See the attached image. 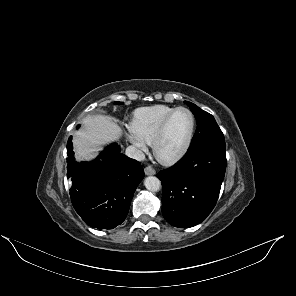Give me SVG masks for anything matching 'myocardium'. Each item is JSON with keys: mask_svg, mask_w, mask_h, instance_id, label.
<instances>
[{"mask_svg": "<svg viewBox=\"0 0 296 296\" xmlns=\"http://www.w3.org/2000/svg\"><path fill=\"white\" fill-rule=\"evenodd\" d=\"M179 111H186L190 114L191 116V120H192V124H191V129L189 132V135L187 137L186 142L184 143V145L182 146V148L175 154L168 156V157H162L159 154V146L161 141L164 138V135L166 133L167 127L170 123V121L172 120V118L174 117V115L179 112ZM195 129H196V118L194 113L186 107H177L175 108L162 122V124L160 125L157 134L152 142V149H153V153L156 157V159L163 163V164H173L176 163L177 161H179L180 159H182L185 154L187 153V151L189 150L193 137H194V133H195Z\"/></svg>", "mask_w": 296, "mask_h": 296, "instance_id": "1", "label": "myocardium"}]
</instances>
